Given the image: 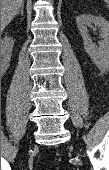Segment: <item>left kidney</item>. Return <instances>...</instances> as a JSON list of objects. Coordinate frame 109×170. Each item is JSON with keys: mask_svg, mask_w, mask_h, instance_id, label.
Returning a JSON list of instances; mask_svg holds the SVG:
<instances>
[{"mask_svg": "<svg viewBox=\"0 0 109 170\" xmlns=\"http://www.w3.org/2000/svg\"><path fill=\"white\" fill-rule=\"evenodd\" d=\"M76 23L83 38L84 48L93 63L100 69H107L109 66V22L101 16L82 14L76 18ZM93 24L100 28L102 41L99 47L92 42L88 33L87 27H92Z\"/></svg>", "mask_w": 109, "mask_h": 170, "instance_id": "1", "label": "left kidney"}]
</instances>
